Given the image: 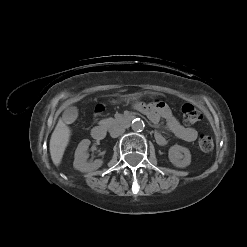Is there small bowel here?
I'll return each mask as SVG.
<instances>
[{"instance_id":"small-bowel-1","label":"small bowel","mask_w":247,"mask_h":247,"mask_svg":"<svg viewBox=\"0 0 247 247\" xmlns=\"http://www.w3.org/2000/svg\"><path fill=\"white\" fill-rule=\"evenodd\" d=\"M108 102L106 105L98 103L95 106V111L98 114L111 111L112 106L115 105L117 101L112 97ZM136 109L145 114L153 124H157L160 120H165L168 131L181 140L193 142L197 139V130L193 127L183 126L171 109L164 103H138ZM155 140L159 145H165L167 143L166 138L160 132L155 133Z\"/></svg>"}]
</instances>
